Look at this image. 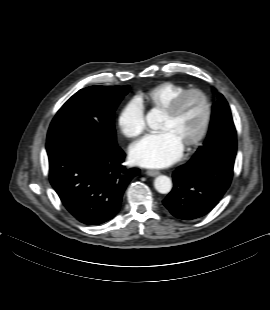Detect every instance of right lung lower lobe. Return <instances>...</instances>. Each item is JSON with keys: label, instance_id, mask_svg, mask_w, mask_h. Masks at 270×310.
Instances as JSON below:
<instances>
[{"label": "right lung lower lobe", "instance_id": "98d812e1", "mask_svg": "<svg viewBox=\"0 0 270 310\" xmlns=\"http://www.w3.org/2000/svg\"><path fill=\"white\" fill-rule=\"evenodd\" d=\"M50 182L62 204L78 221L100 225L118 213L122 195L139 169L122 165L118 145L90 141H48Z\"/></svg>", "mask_w": 270, "mask_h": 310}]
</instances>
